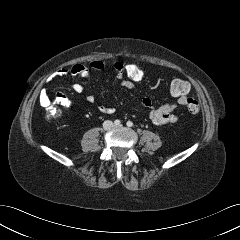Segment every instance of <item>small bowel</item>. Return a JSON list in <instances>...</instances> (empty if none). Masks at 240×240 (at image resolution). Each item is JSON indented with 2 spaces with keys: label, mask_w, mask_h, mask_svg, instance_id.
<instances>
[{
  "label": "small bowel",
  "mask_w": 240,
  "mask_h": 240,
  "mask_svg": "<svg viewBox=\"0 0 240 240\" xmlns=\"http://www.w3.org/2000/svg\"><path fill=\"white\" fill-rule=\"evenodd\" d=\"M123 67L124 63L121 61H115L113 63V71L116 78L120 81L124 88L132 90L134 88V84L125 78L123 74ZM104 68V62L102 60L95 59L90 62V67L82 63H77L71 67L61 68L59 70V74L82 77L84 79L83 82H76L71 85V90L80 94L85 90L86 84L90 79L91 70L102 71ZM187 98L188 96H181L175 98L172 102L155 106L150 98L145 97L142 100V104L144 107L149 109V118L155 125H165L168 123H174L178 120L176 110L180 106L186 105ZM85 99L89 103H93L95 101V97L93 95H87ZM39 102L43 107H50L55 103L67 109L73 106L72 100L62 92L57 93L54 98H50L48 93L45 90H42L39 94ZM99 111L105 114H112L115 109L113 107L101 105L99 106Z\"/></svg>",
  "instance_id": "1"
}]
</instances>
